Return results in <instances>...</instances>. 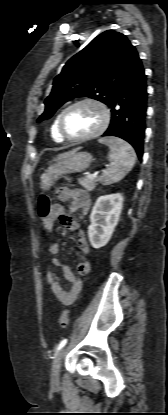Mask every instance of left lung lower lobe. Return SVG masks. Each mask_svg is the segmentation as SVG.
Returning a JSON list of instances; mask_svg holds the SVG:
<instances>
[{"instance_id":"obj_1","label":"left lung lower lobe","mask_w":168,"mask_h":415,"mask_svg":"<svg viewBox=\"0 0 168 415\" xmlns=\"http://www.w3.org/2000/svg\"><path fill=\"white\" fill-rule=\"evenodd\" d=\"M109 108L111 123L103 136H116L126 140L134 147L141 160L145 135L147 86L140 59L116 92Z\"/></svg>"}]
</instances>
